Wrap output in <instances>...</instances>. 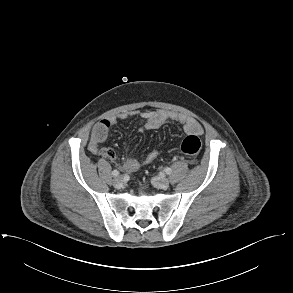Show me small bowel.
<instances>
[{
  "label": "small bowel",
  "instance_id": "small-bowel-1",
  "mask_svg": "<svg viewBox=\"0 0 293 293\" xmlns=\"http://www.w3.org/2000/svg\"><path fill=\"white\" fill-rule=\"evenodd\" d=\"M130 117H141L145 121V129L153 130L158 129L167 122L179 123L183 126L184 130L188 134L201 135L203 133V128L200 123L192 117L186 116L184 114L170 112L165 110H146V111H130L121 112L117 115H109L102 119L100 126L104 131H108L113 125L119 120H126ZM98 142L92 140L90 149L93 152L98 151ZM158 150H151L144 160L141 162L135 158H128L122 163L117 159L115 152L111 149H105L103 151V156L115 164L121 166L128 172H134L139 169L142 165L152 163L158 156Z\"/></svg>",
  "mask_w": 293,
  "mask_h": 293
}]
</instances>
